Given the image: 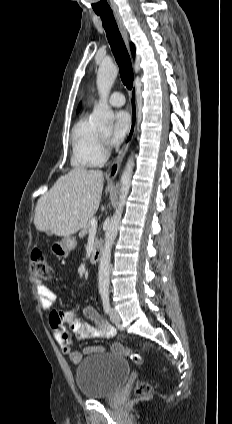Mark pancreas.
Here are the masks:
<instances>
[{
	"label": "pancreas",
	"mask_w": 232,
	"mask_h": 424,
	"mask_svg": "<svg viewBox=\"0 0 232 424\" xmlns=\"http://www.w3.org/2000/svg\"><path fill=\"white\" fill-rule=\"evenodd\" d=\"M93 219H95L94 217H92L88 222H87V224L82 228V230H81V232H80V237H84L88 232H89V229H90V227H91V221L93 220Z\"/></svg>",
	"instance_id": "1"
}]
</instances>
